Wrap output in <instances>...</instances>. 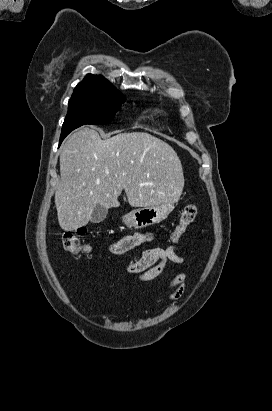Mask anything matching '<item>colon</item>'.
<instances>
[{
    "mask_svg": "<svg viewBox=\"0 0 272 411\" xmlns=\"http://www.w3.org/2000/svg\"><path fill=\"white\" fill-rule=\"evenodd\" d=\"M198 215V207L194 203L186 205L180 215L179 221L174 227L171 240L178 241L192 225ZM86 233L84 229L77 231H64L62 233V243L66 252L69 254H78L83 250L80 237Z\"/></svg>",
    "mask_w": 272,
    "mask_h": 411,
    "instance_id": "colon-1",
    "label": "colon"
}]
</instances>
